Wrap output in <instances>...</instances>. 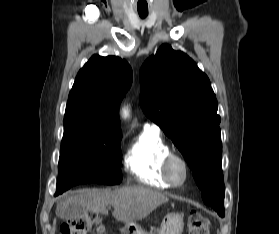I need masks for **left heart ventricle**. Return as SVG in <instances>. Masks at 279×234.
I'll return each mask as SVG.
<instances>
[{"instance_id": "left-heart-ventricle-1", "label": "left heart ventricle", "mask_w": 279, "mask_h": 234, "mask_svg": "<svg viewBox=\"0 0 279 234\" xmlns=\"http://www.w3.org/2000/svg\"><path fill=\"white\" fill-rule=\"evenodd\" d=\"M173 176L176 180H181L183 177V169L178 163L173 166Z\"/></svg>"}]
</instances>
